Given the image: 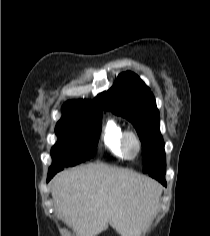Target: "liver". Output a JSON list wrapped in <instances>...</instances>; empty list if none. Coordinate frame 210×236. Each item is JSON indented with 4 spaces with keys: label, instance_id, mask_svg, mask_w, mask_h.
Wrapping results in <instances>:
<instances>
[{
    "label": "liver",
    "instance_id": "liver-1",
    "mask_svg": "<svg viewBox=\"0 0 210 236\" xmlns=\"http://www.w3.org/2000/svg\"><path fill=\"white\" fill-rule=\"evenodd\" d=\"M161 192L153 179L104 164L59 173L51 191L57 212L78 236H97L108 224L121 236H141Z\"/></svg>",
    "mask_w": 210,
    "mask_h": 236
}]
</instances>
